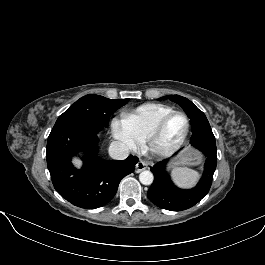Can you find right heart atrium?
Masks as SVG:
<instances>
[{
  "label": "right heart atrium",
  "mask_w": 265,
  "mask_h": 265,
  "mask_svg": "<svg viewBox=\"0 0 265 265\" xmlns=\"http://www.w3.org/2000/svg\"><path fill=\"white\" fill-rule=\"evenodd\" d=\"M111 131L114 138L117 139L126 149L132 150L137 146L138 140L130 132L122 119L117 117L112 119Z\"/></svg>",
  "instance_id": "1"
}]
</instances>
